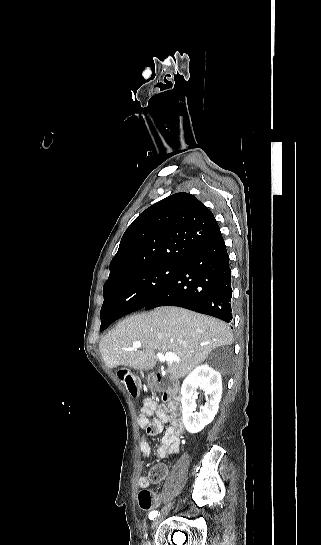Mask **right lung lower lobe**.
I'll use <instances>...</instances> for the list:
<instances>
[{"mask_svg":"<svg viewBox=\"0 0 321 545\" xmlns=\"http://www.w3.org/2000/svg\"><path fill=\"white\" fill-rule=\"evenodd\" d=\"M231 298L229 257L219 229L189 256L175 277L142 308L179 306L229 323L232 320ZM142 308L127 301L110 300L100 312L106 321L103 330L120 317Z\"/></svg>","mask_w":321,"mask_h":545,"instance_id":"98d812e1","label":"right lung lower lobe"}]
</instances>
